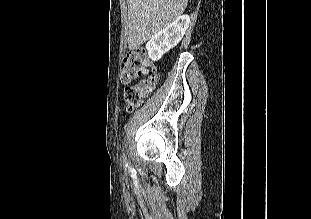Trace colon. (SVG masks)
<instances>
[{
  "label": "colon",
  "instance_id": "1",
  "mask_svg": "<svg viewBox=\"0 0 311 219\" xmlns=\"http://www.w3.org/2000/svg\"><path fill=\"white\" fill-rule=\"evenodd\" d=\"M139 77H142L139 82L127 85L124 89V99L130 109L142 103L153 90L158 79V73L151 65L144 48L130 52L124 58L121 67V79L125 84Z\"/></svg>",
  "mask_w": 311,
  "mask_h": 219
}]
</instances>
